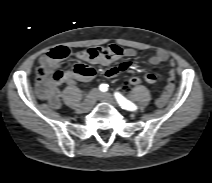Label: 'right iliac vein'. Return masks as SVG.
Segmentation results:
<instances>
[{"label":"right iliac vein","instance_id":"right-iliac-vein-1","mask_svg":"<svg viewBox=\"0 0 212 183\" xmlns=\"http://www.w3.org/2000/svg\"><path fill=\"white\" fill-rule=\"evenodd\" d=\"M99 96V91L94 89L88 93L84 101L78 106V112H88L95 104Z\"/></svg>","mask_w":212,"mask_h":183}]
</instances>
